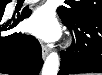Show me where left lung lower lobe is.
<instances>
[{
	"label": "left lung lower lobe",
	"mask_w": 102,
	"mask_h": 75,
	"mask_svg": "<svg viewBox=\"0 0 102 75\" xmlns=\"http://www.w3.org/2000/svg\"><path fill=\"white\" fill-rule=\"evenodd\" d=\"M60 18L74 32L76 41L61 52L58 75L102 73V16Z\"/></svg>",
	"instance_id": "0a47b994"
}]
</instances>
